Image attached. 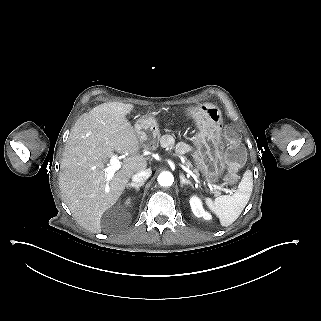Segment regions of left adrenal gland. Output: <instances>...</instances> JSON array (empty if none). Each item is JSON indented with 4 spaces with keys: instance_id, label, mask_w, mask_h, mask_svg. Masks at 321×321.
Instances as JSON below:
<instances>
[{
    "instance_id": "obj_1",
    "label": "left adrenal gland",
    "mask_w": 321,
    "mask_h": 321,
    "mask_svg": "<svg viewBox=\"0 0 321 321\" xmlns=\"http://www.w3.org/2000/svg\"><path fill=\"white\" fill-rule=\"evenodd\" d=\"M190 185L192 188H194V185L191 183L190 180L186 179L184 174H180V186L183 187L184 185Z\"/></svg>"
}]
</instances>
